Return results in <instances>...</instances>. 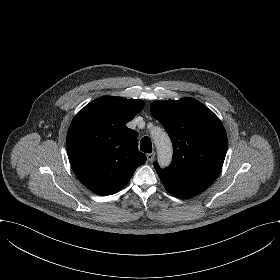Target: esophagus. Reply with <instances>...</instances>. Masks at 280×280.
<instances>
[{"label": "esophagus", "instance_id": "obj_1", "mask_svg": "<svg viewBox=\"0 0 280 280\" xmlns=\"http://www.w3.org/2000/svg\"><path fill=\"white\" fill-rule=\"evenodd\" d=\"M154 157H155V152L147 154V159L149 162L153 161Z\"/></svg>", "mask_w": 280, "mask_h": 280}]
</instances>
